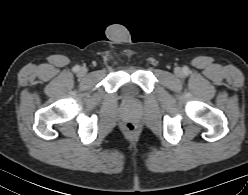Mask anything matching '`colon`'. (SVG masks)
<instances>
[{
    "label": "colon",
    "mask_w": 248,
    "mask_h": 195,
    "mask_svg": "<svg viewBox=\"0 0 248 195\" xmlns=\"http://www.w3.org/2000/svg\"><path fill=\"white\" fill-rule=\"evenodd\" d=\"M126 130L130 133L134 132L135 131V126L133 124H126L125 126Z\"/></svg>",
    "instance_id": "colon-1"
}]
</instances>
